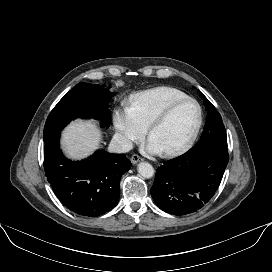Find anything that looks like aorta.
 I'll return each mask as SVG.
<instances>
[{
	"mask_svg": "<svg viewBox=\"0 0 272 272\" xmlns=\"http://www.w3.org/2000/svg\"><path fill=\"white\" fill-rule=\"evenodd\" d=\"M138 173L144 178H151L154 175V168L148 162H141L138 165Z\"/></svg>",
	"mask_w": 272,
	"mask_h": 272,
	"instance_id": "762f6f07",
	"label": "aorta"
}]
</instances>
